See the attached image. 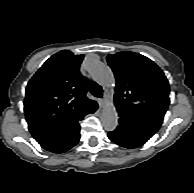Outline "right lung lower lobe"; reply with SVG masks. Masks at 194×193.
Instances as JSON below:
<instances>
[{
  "mask_svg": "<svg viewBox=\"0 0 194 193\" xmlns=\"http://www.w3.org/2000/svg\"><path fill=\"white\" fill-rule=\"evenodd\" d=\"M97 108L98 105L96 104L84 113L52 128L34 132L32 136L42 148L48 151L54 153L66 152L76 145L80 139L79 121L82 120L85 115L95 112Z\"/></svg>",
  "mask_w": 194,
  "mask_h": 193,
  "instance_id": "1",
  "label": "right lung lower lobe"
}]
</instances>
